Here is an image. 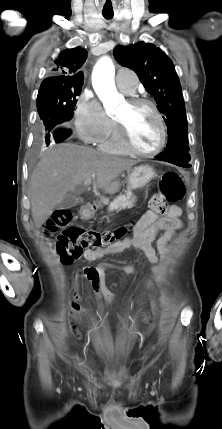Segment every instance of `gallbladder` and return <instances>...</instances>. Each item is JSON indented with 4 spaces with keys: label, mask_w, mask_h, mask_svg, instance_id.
<instances>
[{
    "label": "gallbladder",
    "mask_w": 222,
    "mask_h": 429,
    "mask_svg": "<svg viewBox=\"0 0 222 429\" xmlns=\"http://www.w3.org/2000/svg\"><path fill=\"white\" fill-rule=\"evenodd\" d=\"M78 203V199L72 194L68 193L64 199L57 205V209H69L76 206Z\"/></svg>",
    "instance_id": "gallbladder-1"
}]
</instances>
